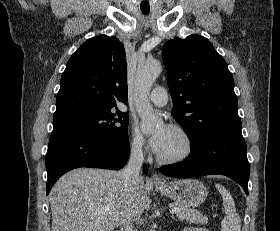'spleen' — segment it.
I'll use <instances>...</instances> for the list:
<instances>
[{
	"instance_id": "spleen-1",
	"label": "spleen",
	"mask_w": 280,
	"mask_h": 231,
	"mask_svg": "<svg viewBox=\"0 0 280 231\" xmlns=\"http://www.w3.org/2000/svg\"><path fill=\"white\" fill-rule=\"evenodd\" d=\"M215 187H217L223 197L224 211L226 213L221 223L222 231H240L241 219L238 213H236L234 199L230 191L221 183H216Z\"/></svg>"
}]
</instances>
